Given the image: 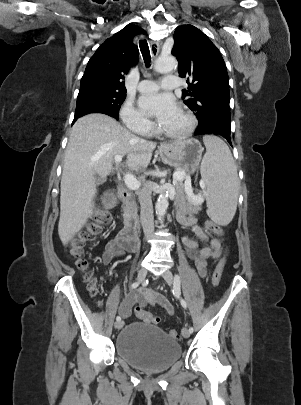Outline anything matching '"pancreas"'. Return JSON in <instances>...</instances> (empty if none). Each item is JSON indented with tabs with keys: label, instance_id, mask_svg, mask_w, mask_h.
Here are the masks:
<instances>
[{
	"label": "pancreas",
	"instance_id": "1",
	"mask_svg": "<svg viewBox=\"0 0 301 405\" xmlns=\"http://www.w3.org/2000/svg\"><path fill=\"white\" fill-rule=\"evenodd\" d=\"M177 171H186L184 169H177ZM176 171V172H177ZM176 195H175V205L180 207L186 213H198L201 210V203L193 201L186 193L184 189V184L179 181L175 184Z\"/></svg>",
	"mask_w": 301,
	"mask_h": 405
}]
</instances>
